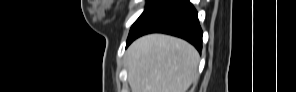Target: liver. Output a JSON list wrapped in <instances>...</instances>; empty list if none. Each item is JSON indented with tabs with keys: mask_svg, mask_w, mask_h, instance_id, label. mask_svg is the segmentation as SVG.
<instances>
[{
	"mask_svg": "<svg viewBox=\"0 0 296 92\" xmlns=\"http://www.w3.org/2000/svg\"><path fill=\"white\" fill-rule=\"evenodd\" d=\"M200 57L186 41L150 34L135 40L126 51L131 92H187L197 80Z\"/></svg>",
	"mask_w": 296,
	"mask_h": 92,
	"instance_id": "6515ba94",
	"label": "liver"
}]
</instances>
